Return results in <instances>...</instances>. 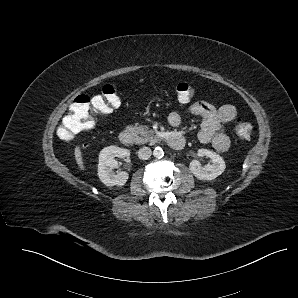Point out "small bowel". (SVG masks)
Instances as JSON below:
<instances>
[{
	"label": "small bowel",
	"instance_id": "obj_1",
	"mask_svg": "<svg viewBox=\"0 0 298 298\" xmlns=\"http://www.w3.org/2000/svg\"><path fill=\"white\" fill-rule=\"evenodd\" d=\"M187 111L202 118L198 134L200 142L210 143L214 149L220 152H225L230 148L231 141L225 131V126L236 118L237 112L234 106L223 105L216 108L208 102L197 101L192 103ZM181 121L180 111H172L168 116V122L173 127L179 126Z\"/></svg>",
	"mask_w": 298,
	"mask_h": 298
}]
</instances>
